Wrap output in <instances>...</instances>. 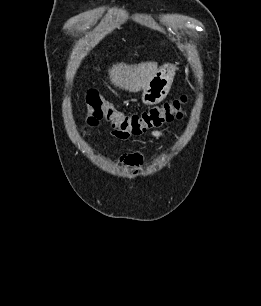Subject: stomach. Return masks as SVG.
Here are the masks:
<instances>
[{"label":"stomach","mask_w":261,"mask_h":306,"mask_svg":"<svg viewBox=\"0 0 261 306\" xmlns=\"http://www.w3.org/2000/svg\"><path fill=\"white\" fill-rule=\"evenodd\" d=\"M175 67L164 65L158 69L143 91L142 101L146 105L161 102L168 94L175 76Z\"/></svg>","instance_id":"obj_1"}]
</instances>
